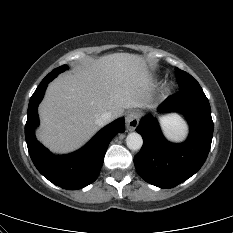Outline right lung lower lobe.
<instances>
[{
	"instance_id": "obj_1",
	"label": "right lung lower lobe",
	"mask_w": 233,
	"mask_h": 233,
	"mask_svg": "<svg viewBox=\"0 0 233 233\" xmlns=\"http://www.w3.org/2000/svg\"><path fill=\"white\" fill-rule=\"evenodd\" d=\"M49 82L40 84L29 102L25 125L28 151L38 171L53 184L68 190L81 189L97 179L110 141L116 134L125 131L124 119L104 127L77 152L53 155L38 142L34 134L39 125L37 108Z\"/></svg>"
}]
</instances>
